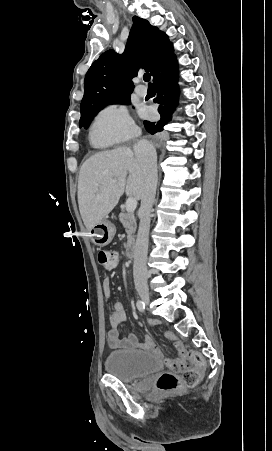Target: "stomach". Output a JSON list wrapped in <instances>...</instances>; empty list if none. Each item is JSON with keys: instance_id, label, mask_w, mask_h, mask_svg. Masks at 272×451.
Here are the masks:
<instances>
[{"instance_id": "1", "label": "stomach", "mask_w": 272, "mask_h": 451, "mask_svg": "<svg viewBox=\"0 0 272 451\" xmlns=\"http://www.w3.org/2000/svg\"><path fill=\"white\" fill-rule=\"evenodd\" d=\"M115 231V226L111 222L101 220V222H98L96 226L90 229L89 235L95 245L103 247V245H108L112 241Z\"/></svg>"}]
</instances>
